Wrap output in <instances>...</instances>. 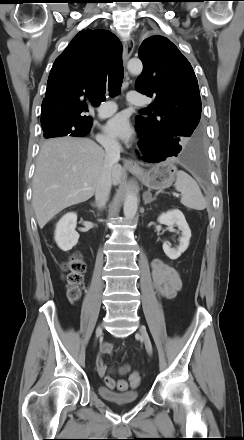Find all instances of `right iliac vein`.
Segmentation results:
<instances>
[{"label":"right iliac vein","mask_w":244,"mask_h":440,"mask_svg":"<svg viewBox=\"0 0 244 440\" xmlns=\"http://www.w3.org/2000/svg\"><path fill=\"white\" fill-rule=\"evenodd\" d=\"M102 332H103L102 326L99 325V326L96 328V332H95V338H96V341H97V339L102 335Z\"/></svg>","instance_id":"1"}]
</instances>
